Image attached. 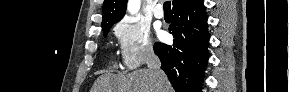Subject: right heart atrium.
<instances>
[{"label":"right heart atrium","mask_w":289,"mask_h":92,"mask_svg":"<svg viewBox=\"0 0 289 92\" xmlns=\"http://www.w3.org/2000/svg\"><path fill=\"white\" fill-rule=\"evenodd\" d=\"M122 63L127 69H135L154 54L149 29L134 18H123L114 26Z\"/></svg>","instance_id":"right-heart-atrium-1"}]
</instances>
